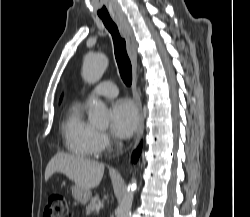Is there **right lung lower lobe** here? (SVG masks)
<instances>
[{"instance_id":"right-lung-lower-lobe-1","label":"right lung lower lobe","mask_w":250,"mask_h":217,"mask_svg":"<svg viewBox=\"0 0 250 217\" xmlns=\"http://www.w3.org/2000/svg\"><path fill=\"white\" fill-rule=\"evenodd\" d=\"M141 145L137 148V150H135V152L133 153V156H132V160L133 162H137L138 158H139V155H140V152H141Z\"/></svg>"}]
</instances>
